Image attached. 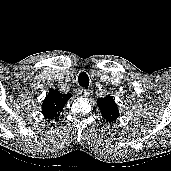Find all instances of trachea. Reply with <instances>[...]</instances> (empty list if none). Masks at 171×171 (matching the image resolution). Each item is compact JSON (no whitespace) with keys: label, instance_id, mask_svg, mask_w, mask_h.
I'll return each instance as SVG.
<instances>
[{"label":"trachea","instance_id":"trachea-1","mask_svg":"<svg viewBox=\"0 0 171 171\" xmlns=\"http://www.w3.org/2000/svg\"><path fill=\"white\" fill-rule=\"evenodd\" d=\"M78 83L83 88H88L89 86V77L85 72H81L78 76Z\"/></svg>","mask_w":171,"mask_h":171}]
</instances>
